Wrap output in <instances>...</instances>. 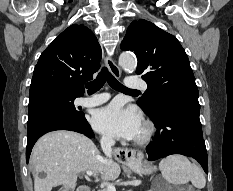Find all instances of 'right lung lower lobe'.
<instances>
[{"label":"right lung lower lobe","mask_w":233,"mask_h":191,"mask_svg":"<svg viewBox=\"0 0 233 191\" xmlns=\"http://www.w3.org/2000/svg\"><path fill=\"white\" fill-rule=\"evenodd\" d=\"M70 130L89 138L94 136L85 116L75 115L50 107H40L28 114L26 161L29 162L35 142L47 132Z\"/></svg>","instance_id":"right-lung-lower-lobe-1"}]
</instances>
